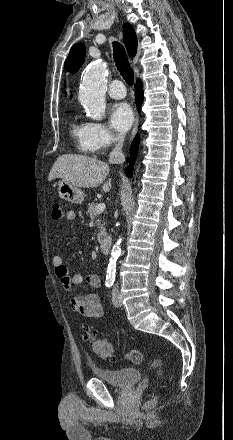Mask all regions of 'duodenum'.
I'll return each instance as SVG.
<instances>
[{
  "instance_id": "duodenum-1",
  "label": "duodenum",
  "mask_w": 233,
  "mask_h": 440,
  "mask_svg": "<svg viewBox=\"0 0 233 440\" xmlns=\"http://www.w3.org/2000/svg\"><path fill=\"white\" fill-rule=\"evenodd\" d=\"M112 244L111 237H103L99 240V246L102 252H108Z\"/></svg>"
}]
</instances>
